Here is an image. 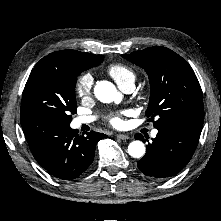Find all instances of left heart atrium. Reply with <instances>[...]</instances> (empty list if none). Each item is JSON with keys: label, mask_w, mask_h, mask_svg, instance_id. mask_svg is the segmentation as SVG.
I'll list each match as a JSON object with an SVG mask.
<instances>
[{"label": "left heart atrium", "mask_w": 221, "mask_h": 221, "mask_svg": "<svg viewBox=\"0 0 221 221\" xmlns=\"http://www.w3.org/2000/svg\"><path fill=\"white\" fill-rule=\"evenodd\" d=\"M109 122L112 126L116 127V128H120L123 126L124 122H123V119L121 117V115L119 114H116V115H112L110 118H109Z\"/></svg>", "instance_id": "obj_1"}]
</instances>
